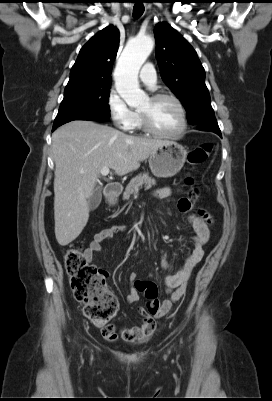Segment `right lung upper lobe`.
Masks as SVG:
<instances>
[{
	"instance_id": "cb5924a9",
	"label": "right lung upper lobe",
	"mask_w": 272,
	"mask_h": 401,
	"mask_svg": "<svg viewBox=\"0 0 272 401\" xmlns=\"http://www.w3.org/2000/svg\"><path fill=\"white\" fill-rule=\"evenodd\" d=\"M119 47V30L110 25L80 50L64 92L111 84V70Z\"/></svg>"
}]
</instances>
